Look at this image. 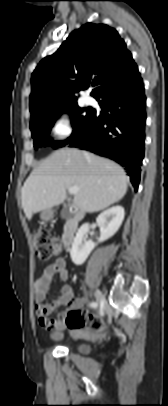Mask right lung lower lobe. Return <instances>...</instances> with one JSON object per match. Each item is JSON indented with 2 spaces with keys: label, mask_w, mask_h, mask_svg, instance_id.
I'll return each instance as SVG.
<instances>
[{
  "label": "right lung lower lobe",
  "mask_w": 168,
  "mask_h": 406,
  "mask_svg": "<svg viewBox=\"0 0 168 406\" xmlns=\"http://www.w3.org/2000/svg\"><path fill=\"white\" fill-rule=\"evenodd\" d=\"M95 98L102 99L99 104L105 114L93 110L88 123L68 143L124 166L137 190L146 122V98L138 68L101 90Z\"/></svg>",
  "instance_id": "right-lung-lower-lobe-1"
}]
</instances>
